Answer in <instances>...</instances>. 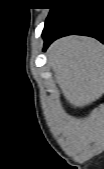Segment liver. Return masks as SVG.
Masks as SVG:
<instances>
[{
	"mask_svg": "<svg viewBox=\"0 0 104 169\" xmlns=\"http://www.w3.org/2000/svg\"><path fill=\"white\" fill-rule=\"evenodd\" d=\"M56 83L75 108L92 104L104 90V48L89 37L69 36L47 51Z\"/></svg>",
	"mask_w": 104,
	"mask_h": 169,
	"instance_id": "6515ba94",
	"label": "liver"
}]
</instances>
